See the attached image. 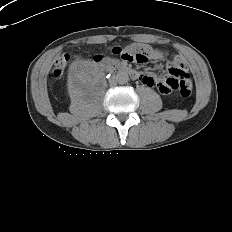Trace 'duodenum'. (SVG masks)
<instances>
[{
  "mask_svg": "<svg viewBox=\"0 0 232 232\" xmlns=\"http://www.w3.org/2000/svg\"><path fill=\"white\" fill-rule=\"evenodd\" d=\"M110 73L111 74H128L133 79H136L139 76L137 71H135L134 69L129 68L126 65H117L115 63H112L110 65Z\"/></svg>",
  "mask_w": 232,
  "mask_h": 232,
  "instance_id": "obj_1",
  "label": "duodenum"
}]
</instances>
